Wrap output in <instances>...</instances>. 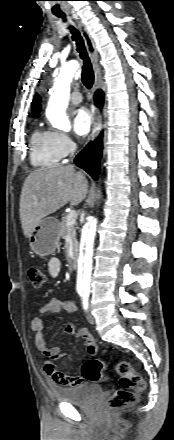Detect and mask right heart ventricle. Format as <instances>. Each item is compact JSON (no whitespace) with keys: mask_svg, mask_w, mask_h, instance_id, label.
Listing matches in <instances>:
<instances>
[{"mask_svg":"<svg viewBox=\"0 0 174 440\" xmlns=\"http://www.w3.org/2000/svg\"><path fill=\"white\" fill-rule=\"evenodd\" d=\"M31 163L36 167H54L62 158L58 154L53 139V132L35 130L31 141Z\"/></svg>","mask_w":174,"mask_h":440,"instance_id":"obj_1","label":"right heart ventricle"}]
</instances>
